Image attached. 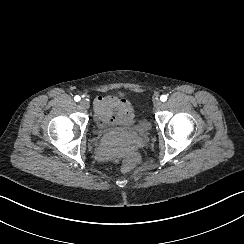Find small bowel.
Here are the masks:
<instances>
[{
  "label": "small bowel",
  "instance_id": "obj_1",
  "mask_svg": "<svg viewBox=\"0 0 244 244\" xmlns=\"http://www.w3.org/2000/svg\"><path fill=\"white\" fill-rule=\"evenodd\" d=\"M94 112L97 121L104 127L130 125L134 118L130 103L112 95L96 98Z\"/></svg>",
  "mask_w": 244,
  "mask_h": 244
}]
</instances>
